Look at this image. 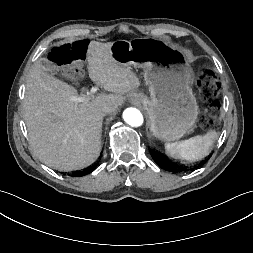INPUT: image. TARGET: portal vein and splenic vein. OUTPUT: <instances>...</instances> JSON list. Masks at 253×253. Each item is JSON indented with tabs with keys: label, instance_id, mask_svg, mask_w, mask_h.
Instances as JSON below:
<instances>
[{
	"label": "portal vein and splenic vein",
	"instance_id": "1",
	"mask_svg": "<svg viewBox=\"0 0 253 253\" xmlns=\"http://www.w3.org/2000/svg\"><path fill=\"white\" fill-rule=\"evenodd\" d=\"M97 90H98L97 87H92L91 90H90V95L95 94L97 92ZM74 100L76 102L80 103V102L88 101L89 98H88V95L82 94L81 96L75 97Z\"/></svg>",
	"mask_w": 253,
	"mask_h": 253
}]
</instances>
